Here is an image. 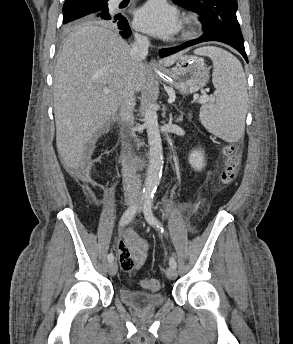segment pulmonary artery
Returning a JSON list of instances; mask_svg holds the SVG:
<instances>
[{
    "label": "pulmonary artery",
    "instance_id": "obj_1",
    "mask_svg": "<svg viewBox=\"0 0 293 344\" xmlns=\"http://www.w3.org/2000/svg\"><path fill=\"white\" fill-rule=\"evenodd\" d=\"M116 3H119V2H121L122 0H114Z\"/></svg>",
    "mask_w": 293,
    "mask_h": 344
}]
</instances>
